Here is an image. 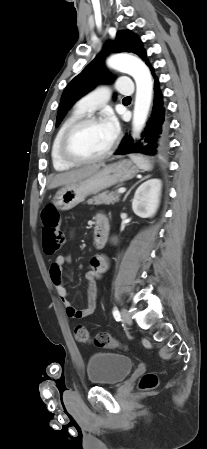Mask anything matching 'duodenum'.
Returning <instances> with one entry per match:
<instances>
[{"instance_id":"duodenum-1","label":"duodenum","mask_w":207,"mask_h":449,"mask_svg":"<svg viewBox=\"0 0 207 449\" xmlns=\"http://www.w3.org/2000/svg\"><path fill=\"white\" fill-rule=\"evenodd\" d=\"M107 224L104 220L99 219L96 222L94 230V241L97 247H104L107 239Z\"/></svg>"}]
</instances>
